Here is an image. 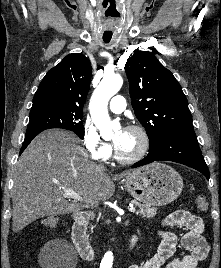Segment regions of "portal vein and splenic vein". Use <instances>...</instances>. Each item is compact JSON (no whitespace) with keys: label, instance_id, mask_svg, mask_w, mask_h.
<instances>
[{"label":"portal vein and splenic vein","instance_id":"18ae733b","mask_svg":"<svg viewBox=\"0 0 221 268\" xmlns=\"http://www.w3.org/2000/svg\"><path fill=\"white\" fill-rule=\"evenodd\" d=\"M63 191H64V197L65 198H72V199H75V200H78V201H82V198L81 196L74 192L73 190H70V189H67L65 187H62ZM130 212H135V207H133V205H130V209H129Z\"/></svg>","mask_w":221,"mask_h":268}]
</instances>
